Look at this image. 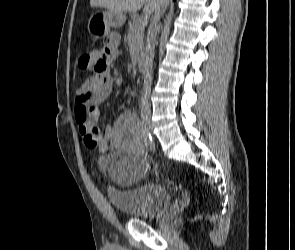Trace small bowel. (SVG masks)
Listing matches in <instances>:
<instances>
[{"label": "small bowel", "instance_id": "obj_1", "mask_svg": "<svg viewBox=\"0 0 295 250\" xmlns=\"http://www.w3.org/2000/svg\"><path fill=\"white\" fill-rule=\"evenodd\" d=\"M120 37L109 34L101 50L91 53L92 74L75 92V104L84 103L90 109L89 119L79 124L83 143L90 150L106 152L109 144L121 154L109 171L111 179L119 186H128L140 179L149 169V159L143 155L141 129L132 112L121 115L114 126L107 125L103 131L98 126L99 111L96 105L112 92L110 73L112 62L119 54Z\"/></svg>", "mask_w": 295, "mask_h": 250}]
</instances>
